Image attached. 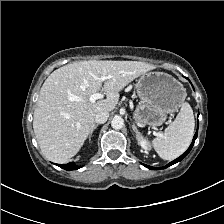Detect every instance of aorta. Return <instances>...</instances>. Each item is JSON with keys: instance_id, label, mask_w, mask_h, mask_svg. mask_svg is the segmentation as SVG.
Masks as SVG:
<instances>
[{"instance_id": "obj_1", "label": "aorta", "mask_w": 224, "mask_h": 224, "mask_svg": "<svg viewBox=\"0 0 224 224\" xmlns=\"http://www.w3.org/2000/svg\"><path fill=\"white\" fill-rule=\"evenodd\" d=\"M124 125V120L120 116H115L111 121V126L113 129H121Z\"/></svg>"}]
</instances>
